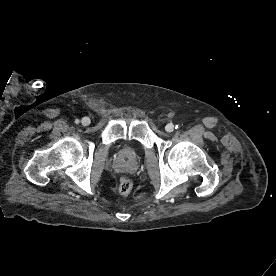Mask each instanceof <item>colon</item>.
Segmentation results:
<instances>
[{
  "label": "colon",
  "instance_id": "1",
  "mask_svg": "<svg viewBox=\"0 0 276 276\" xmlns=\"http://www.w3.org/2000/svg\"><path fill=\"white\" fill-rule=\"evenodd\" d=\"M132 188H133V184H132V181L126 177H122L120 180H119V183H118V192L123 195V196H126V195H129L132 191Z\"/></svg>",
  "mask_w": 276,
  "mask_h": 276
}]
</instances>
